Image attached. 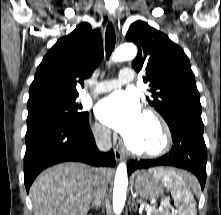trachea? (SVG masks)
Here are the masks:
<instances>
[{
  "mask_svg": "<svg viewBox=\"0 0 221 215\" xmlns=\"http://www.w3.org/2000/svg\"><path fill=\"white\" fill-rule=\"evenodd\" d=\"M115 43H116L115 31L112 24L109 23L105 34V48H106V56L108 59L115 48Z\"/></svg>",
  "mask_w": 221,
  "mask_h": 215,
  "instance_id": "obj_1",
  "label": "trachea"
}]
</instances>
